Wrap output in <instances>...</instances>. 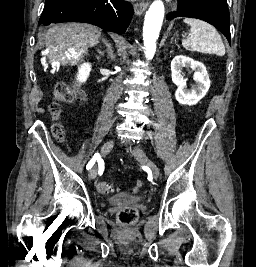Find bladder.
Segmentation results:
<instances>
[{
  "mask_svg": "<svg viewBox=\"0 0 256 267\" xmlns=\"http://www.w3.org/2000/svg\"><path fill=\"white\" fill-rule=\"evenodd\" d=\"M144 200V197L136 196V195H114L111 198L107 199V203L109 205H123L130 203L139 204Z\"/></svg>",
  "mask_w": 256,
  "mask_h": 267,
  "instance_id": "1",
  "label": "bladder"
}]
</instances>
